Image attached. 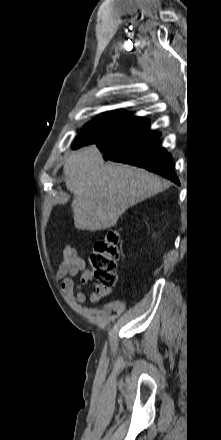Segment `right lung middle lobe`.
Here are the masks:
<instances>
[{"label": "right lung middle lobe", "mask_w": 221, "mask_h": 440, "mask_svg": "<svg viewBox=\"0 0 221 440\" xmlns=\"http://www.w3.org/2000/svg\"><path fill=\"white\" fill-rule=\"evenodd\" d=\"M130 117V114L122 110L99 115L97 118L85 125L83 132L76 139L73 149L96 143L98 140L113 132Z\"/></svg>", "instance_id": "1"}]
</instances>
